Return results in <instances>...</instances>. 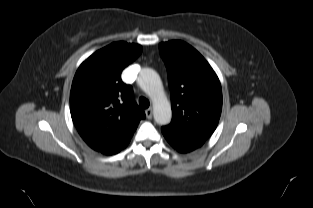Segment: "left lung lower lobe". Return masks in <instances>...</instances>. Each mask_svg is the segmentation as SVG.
<instances>
[{"label":"left lung lower lobe","instance_id":"0a47b994","mask_svg":"<svg viewBox=\"0 0 313 208\" xmlns=\"http://www.w3.org/2000/svg\"><path fill=\"white\" fill-rule=\"evenodd\" d=\"M163 135L165 136V138L167 139V141L170 143V145L172 147H174L177 151L181 152V153H187L190 152L198 147H200L201 145H196V144H192V143H188V142H184L181 140H178L166 133H164L162 131Z\"/></svg>","mask_w":313,"mask_h":208}]
</instances>
